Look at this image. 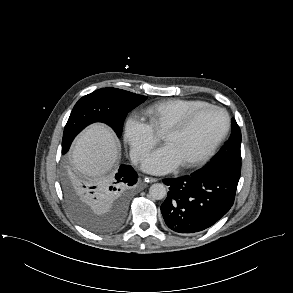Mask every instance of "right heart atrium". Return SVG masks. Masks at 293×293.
Instances as JSON below:
<instances>
[{
  "mask_svg": "<svg viewBox=\"0 0 293 293\" xmlns=\"http://www.w3.org/2000/svg\"><path fill=\"white\" fill-rule=\"evenodd\" d=\"M123 137L135 162L141 160L159 141L151 124L137 113H131L126 117Z\"/></svg>",
  "mask_w": 293,
  "mask_h": 293,
  "instance_id": "d8ad5b80",
  "label": "right heart atrium"
}]
</instances>
